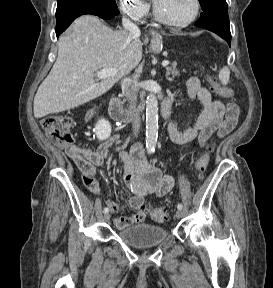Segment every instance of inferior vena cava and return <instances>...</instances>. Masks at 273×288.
Segmentation results:
<instances>
[{
    "label": "inferior vena cava",
    "instance_id": "602c4592",
    "mask_svg": "<svg viewBox=\"0 0 273 288\" xmlns=\"http://www.w3.org/2000/svg\"><path fill=\"white\" fill-rule=\"evenodd\" d=\"M122 25L125 30L129 31L133 37H139L140 29L132 23L129 19L123 17ZM122 92L127 97L129 102V110L132 116L133 133L137 137L140 131L141 117L137 110L138 87L136 82L132 79L125 77L121 81Z\"/></svg>",
    "mask_w": 273,
    "mask_h": 288
}]
</instances>
